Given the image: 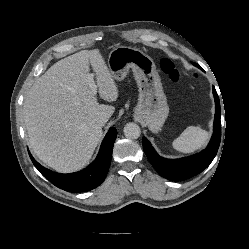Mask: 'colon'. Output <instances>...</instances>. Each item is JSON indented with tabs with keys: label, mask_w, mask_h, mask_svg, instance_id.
<instances>
[{
	"label": "colon",
	"mask_w": 249,
	"mask_h": 249,
	"mask_svg": "<svg viewBox=\"0 0 249 249\" xmlns=\"http://www.w3.org/2000/svg\"><path fill=\"white\" fill-rule=\"evenodd\" d=\"M160 67L162 71L173 81L182 82L189 78H194V74L183 71L176 62L165 58L161 61Z\"/></svg>",
	"instance_id": "5ec220e1"
}]
</instances>
